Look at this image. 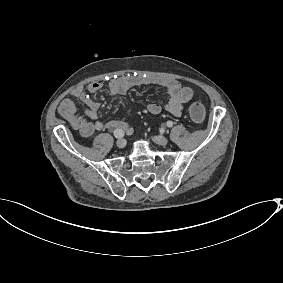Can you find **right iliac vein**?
I'll use <instances>...</instances> for the list:
<instances>
[{
	"instance_id": "1",
	"label": "right iliac vein",
	"mask_w": 283,
	"mask_h": 283,
	"mask_svg": "<svg viewBox=\"0 0 283 283\" xmlns=\"http://www.w3.org/2000/svg\"><path fill=\"white\" fill-rule=\"evenodd\" d=\"M116 145L118 148H124L125 145H126V140L123 139V138H119L117 141H116Z\"/></svg>"
}]
</instances>
